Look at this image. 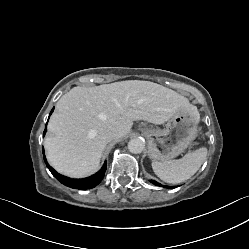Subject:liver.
I'll use <instances>...</instances> for the list:
<instances>
[{"label": "liver", "instance_id": "liver-1", "mask_svg": "<svg viewBox=\"0 0 249 249\" xmlns=\"http://www.w3.org/2000/svg\"><path fill=\"white\" fill-rule=\"evenodd\" d=\"M196 110L189 100L157 83L128 80L94 87H74L56 103L44 140L49 164L66 176L95 173L109 142L103 133L114 129L125 137L133 121L164 124L177 111Z\"/></svg>", "mask_w": 249, "mask_h": 249}]
</instances>
